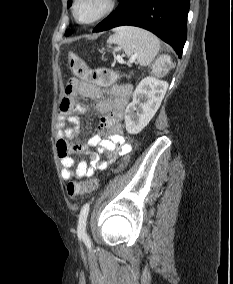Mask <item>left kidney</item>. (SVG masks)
<instances>
[{
  "label": "left kidney",
  "instance_id": "1",
  "mask_svg": "<svg viewBox=\"0 0 233 284\" xmlns=\"http://www.w3.org/2000/svg\"><path fill=\"white\" fill-rule=\"evenodd\" d=\"M168 83L148 76L137 85L133 100L125 110V126L129 134H138L150 122L165 96Z\"/></svg>",
  "mask_w": 233,
  "mask_h": 284
}]
</instances>
